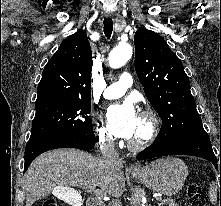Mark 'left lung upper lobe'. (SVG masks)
<instances>
[{"label":"left lung upper lobe","instance_id":"left-lung-upper-lobe-1","mask_svg":"<svg viewBox=\"0 0 221 206\" xmlns=\"http://www.w3.org/2000/svg\"><path fill=\"white\" fill-rule=\"evenodd\" d=\"M135 70L144 92L162 119L155 141L185 137L209 138L190 91L181 60L164 39L140 28L134 36Z\"/></svg>","mask_w":221,"mask_h":206}]
</instances>
